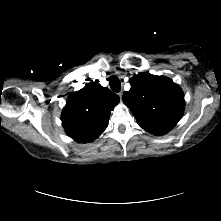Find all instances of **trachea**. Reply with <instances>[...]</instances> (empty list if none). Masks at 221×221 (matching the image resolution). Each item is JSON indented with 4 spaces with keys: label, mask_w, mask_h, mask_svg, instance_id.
I'll return each instance as SVG.
<instances>
[{
    "label": "trachea",
    "mask_w": 221,
    "mask_h": 221,
    "mask_svg": "<svg viewBox=\"0 0 221 221\" xmlns=\"http://www.w3.org/2000/svg\"><path fill=\"white\" fill-rule=\"evenodd\" d=\"M110 88L114 92H120L121 90V82L116 76H111L110 79Z\"/></svg>",
    "instance_id": "1"
}]
</instances>
